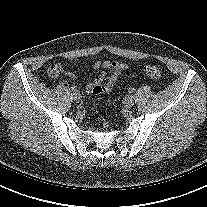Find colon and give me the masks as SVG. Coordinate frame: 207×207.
Masks as SVG:
<instances>
[{"mask_svg": "<svg viewBox=\"0 0 207 207\" xmlns=\"http://www.w3.org/2000/svg\"><path fill=\"white\" fill-rule=\"evenodd\" d=\"M145 74L153 80H158L161 78V71L158 67L154 65H147L144 68Z\"/></svg>", "mask_w": 207, "mask_h": 207, "instance_id": "obj_1", "label": "colon"}]
</instances>
